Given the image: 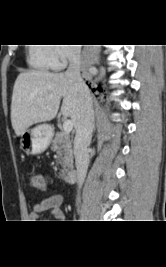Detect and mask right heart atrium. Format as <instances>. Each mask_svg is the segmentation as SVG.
Listing matches in <instances>:
<instances>
[{
	"mask_svg": "<svg viewBox=\"0 0 166 267\" xmlns=\"http://www.w3.org/2000/svg\"><path fill=\"white\" fill-rule=\"evenodd\" d=\"M56 69L62 68L68 60H72L76 56V51L71 46L55 45L51 48Z\"/></svg>",
	"mask_w": 166,
	"mask_h": 267,
	"instance_id": "right-heart-atrium-1",
	"label": "right heart atrium"
}]
</instances>
